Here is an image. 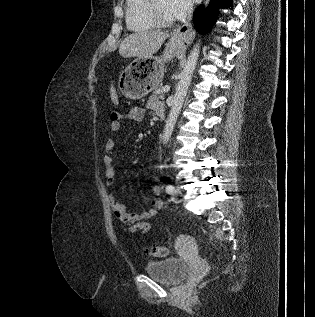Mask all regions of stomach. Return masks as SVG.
Returning a JSON list of instances; mask_svg holds the SVG:
<instances>
[{
	"instance_id": "0dacf381",
	"label": "stomach",
	"mask_w": 315,
	"mask_h": 317,
	"mask_svg": "<svg viewBox=\"0 0 315 317\" xmlns=\"http://www.w3.org/2000/svg\"><path fill=\"white\" fill-rule=\"evenodd\" d=\"M182 47L183 42L172 37L161 56L134 59L119 75L118 88L122 95L136 100L158 87L164 76L165 63L179 55Z\"/></svg>"
}]
</instances>
